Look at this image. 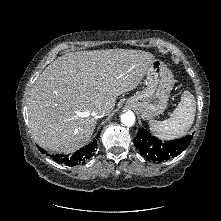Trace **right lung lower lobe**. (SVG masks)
Listing matches in <instances>:
<instances>
[{
    "instance_id": "98d812e1",
    "label": "right lung lower lobe",
    "mask_w": 221,
    "mask_h": 221,
    "mask_svg": "<svg viewBox=\"0 0 221 221\" xmlns=\"http://www.w3.org/2000/svg\"><path fill=\"white\" fill-rule=\"evenodd\" d=\"M99 136L100 134H97L96 139H94L89 145L79 149L72 155H52L51 157L54 161L69 167L84 164L85 161L93 156L95 149L97 148V139ZM38 148L42 153H45L42 148Z\"/></svg>"
}]
</instances>
